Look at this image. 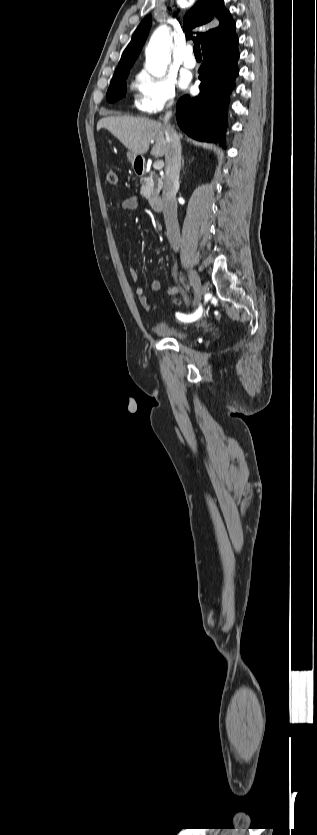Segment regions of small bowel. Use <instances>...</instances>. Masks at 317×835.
Masks as SVG:
<instances>
[{"label":"small bowel","instance_id":"small-bowel-1","mask_svg":"<svg viewBox=\"0 0 317 835\" xmlns=\"http://www.w3.org/2000/svg\"><path fill=\"white\" fill-rule=\"evenodd\" d=\"M138 204H139V198L137 196H131V197L125 199L122 202L121 206H122L123 210L129 211V210L135 209ZM129 274H130V277H131L132 281H134V282L138 281L139 275H138V271L135 268L131 267L129 269ZM150 286H151V289L153 291H159L161 289V282L158 279H153L151 281ZM177 293H178V288L176 286H169V287L166 288V294L169 295V296L175 295ZM136 295L138 296L140 304L145 309H152V308L155 307V305H153L149 301L148 297L145 294V289L143 287H137L136 288ZM192 306L195 308L196 307V302L193 301Z\"/></svg>","mask_w":317,"mask_h":835}]
</instances>
